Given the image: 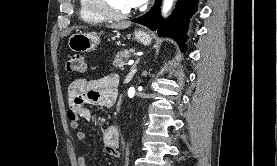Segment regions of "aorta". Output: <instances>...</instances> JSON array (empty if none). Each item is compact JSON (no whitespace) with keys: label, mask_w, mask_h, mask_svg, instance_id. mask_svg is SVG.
Instances as JSON below:
<instances>
[{"label":"aorta","mask_w":277,"mask_h":166,"mask_svg":"<svg viewBox=\"0 0 277 166\" xmlns=\"http://www.w3.org/2000/svg\"><path fill=\"white\" fill-rule=\"evenodd\" d=\"M173 2L174 0H164L163 7H162V12L164 15H166L170 11L173 5Z\"/></svg>","instance_id":"obj_1"}]
</instances>
